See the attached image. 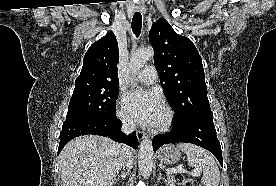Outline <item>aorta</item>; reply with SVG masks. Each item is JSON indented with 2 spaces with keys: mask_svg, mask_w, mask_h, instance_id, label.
Listing matches in <instances>:
<instances>
[{
  "mask_svg": "<svg viewBox=\"0 0 276 186\" xmlns=\"http://www.w3.org/2000/svg\"><path fill=\"white\" fill-rule=\"evenodd\" d=\"M154 57L152 48H145L134 52L130 58L129 71L132 75L136 74L148 61ZM133 87L136 86L135 82H131ZM153 146L149 138H144L139 146L138 164L139 169L144 178H147L152 172L153 168Z\"/></svg>",
  "mask_w": 276,
  "mask_h": 186,
  "instance_id": "obj_1",
  "label": "aorta"
}]
</instances>
